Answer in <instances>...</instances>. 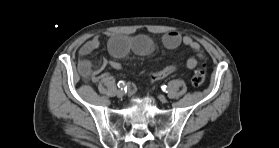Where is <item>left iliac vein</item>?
Masks as SVG:
<instances>
[{"label":"left iliac vein","mask_w":279,"mask_h":148,"mask_svg":"<svg viewBox=\"0 0 279 148\" xmlns=\"http://www.w3.org/2000/svg\"><path fill=\"white\" fill-rule=\"evenodd\" d=\"M158 99L162 102V103H166L167 102V98L164 95H159Z\"/></svg>","instance_id":"left-iliac-vein-1"}]
</instances>
